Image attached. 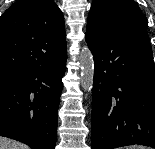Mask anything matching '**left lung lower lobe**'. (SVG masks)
Segmentation results:
<instances>
[{"label": "left lung lower lobe", "mask_w": 155, "mask_h": 149, "mask_svg": "<svg viewBox=\"0 0 155 149\" xmlns=\"http://www.w3.org/2000/svg\"><path fill=\"white\" fill-rule=\"evenodd\" d=\"M94 58L92 149L155 148V69L143 27L86 33Z\"/></svg>", "instance_id": "obj_1"}]
</instances>
